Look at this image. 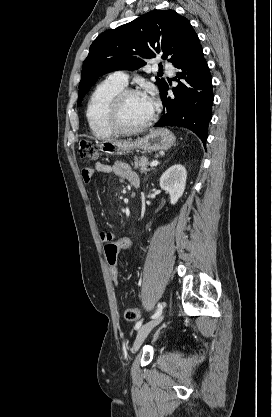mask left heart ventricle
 <instances>
[{
  "instance_id": "obj_1",
  "label": "left heart ventricle",
  "mask_w": 272,
  "mask_h": 417,
  "mask_svg": "<svg viewBox=\"0 0 272 417\" xmlns=\"http://www.w3.org/2000/svg\"><path fill=\"white\" fill-rule=\"evenodd\" d=\"M152 113L144 96H130L123 103L120 121L126 127H136L146 122Z\"/></svg>"
}]
</instances>
